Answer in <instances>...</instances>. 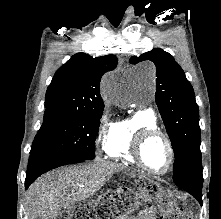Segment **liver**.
<instances>
[{
    "label": "liver",
    "mask_w": 221,
    "mask_h": 219,
    "mask_svg": "<svg viewBox=\"0 0 221 219\" xmlns=\"http://www.w3.org/2000/svg\"><path fill=\"white\" fill-rule=\"evenodd\" d=\"M125 168L120 163L99 161L47 173L29 187L26 215L28 219H56L61 209H70L92 196Z\"/></svg>",
    "instance_id": "liver-1"
}]
</instances>
